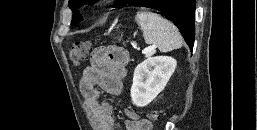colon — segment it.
<instances>
[{
    "mask_svg": "<svg viewBox=\"0 0 257 130\" xmlns=\"http://www.w3.org/2000/svg\"><path fill=\"white\" fill-rule=\"evenodd\" d=\"M91 44L89 42H77L69 51L70 60L78 65L88 57ZM149 120L156 122L159 119V114H149Z\"/></svg>",
    "mask_w": 257,
    "mask_h": 130,
    "instance_id": "1",
    "label": "colon"
}]
</instances>
